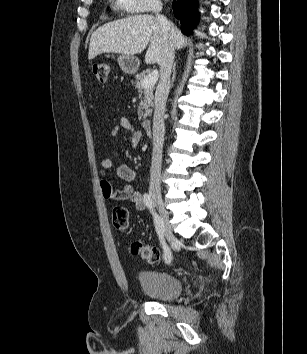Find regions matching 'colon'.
I'll use <instances>...</instances> for the list:
<instances>
[{
  "instance_id": "5ec220e1",
  "label": "colon",
  "mask_w": 307,
  "mask_h": 354,
  "mask_svg": "<svg viewBox=\"0 0 307 354\" xmlns=\"http://www.w3.org/2000/svg\"><path fill=\"white\" fill-rule=\"evenodd\" d=\"M93 73L99 83H105L109 75V65L107 63H96L93 66ZM112 221L116 230L124 232L128 228L129 213L127 208L118 206L113 209ZM133 254L140 256L142 259L150 263H156L160 258L157 248L136 241L131 245Z\"/></svg>"
}]
</instances>
